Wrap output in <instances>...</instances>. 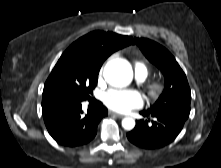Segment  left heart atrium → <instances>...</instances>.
Returning a JSON list of instances; mask_svg holds the SVG:
<instances>
[{"mask_svg":"<svg viewBox=\"0 0 221 168\" xmlns=\"http://www.w3.org/2000/svg\"><path fill=\"white\" fill-rule=\"evenodd\" d=\"M105 105L117 112L127 113L143 104L141 94L135 90L110 89L103 96Z\"/></svg>","mask_w":221,"mask_h":168,"instance_id":"39dd6f15","label":"left heart atrium"}]
</instances>
